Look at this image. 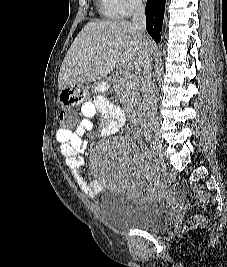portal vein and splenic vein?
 <instances>
[{"mask_svg":"<svg viewBox=\"0 0 227 267\" xmlns=\"http://www.w3.org/2000/svg\"><path fill=\"white\" fill-rule=\"evenodd\" d=\"M127 79H128V85L132 86L133 84L136 83L137 77L134 74H129L127 75Z\"/></svg>","mask_w":227,"mask_h":267,"instance_id":"18ae733b","label":"portal vein and splenic vein"}]
</instances>
